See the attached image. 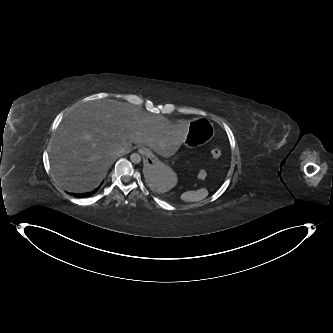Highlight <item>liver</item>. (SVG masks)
Listing matches in <instances>:
<instances>
[{"label":"liver","instance_id":"1","mask_svg":"<svg viewBox=\"0 0 333 333\" xmlns=\"http://www.w3.org/2000/svg\"><path fill=\"white\" fill-rule=\"evenodd\" d=\"M189 127L185 120H168L140 107L111 99L89 101L60 124L49 147L51 169L69 192L85 193L99 186L112 162L145 144L170 157L180 148Z\"/></svg>","mask_w":333,"mask_h":333}]
</instances>
